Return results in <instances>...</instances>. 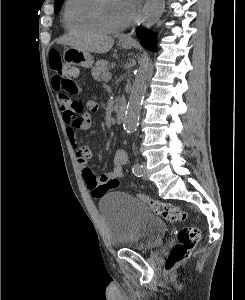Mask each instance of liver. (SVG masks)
I'll return each mask as SVG.
<instances>
[{
  "mask_svg": "<svg viewBox=\"0 0 245 300\" xmlns=\"http://www.w3.org/2000/svg\"><path fill=\"white\" fill-rule=\"evenodd\" d=\"M58 43L69 45L81 51L102 54L107 53L112 48L114 40L109 36L99 34H70L60 38Z\"/></svg>",
  "mask_w": 245,
  "mask_h": 300,
  "instance_id": "1",
  "label": "liver"
}]
</instances>
